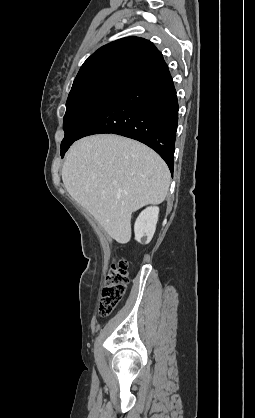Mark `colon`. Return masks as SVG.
I'll return each instance as SVG.
<instances>
[{"label": "colon", "mask_w": 255, "mask_h": 418, "mask_svg": "<svg viewBox=\"0 0 255 418\" xmlns=\"http://www.w3.org/2000/svg\"><path fill=\"white\" fill-rule=\"evenodd\" d=\"M129 282L128 264L120 260L112 265L102 289L99 313L109 315L121 301Z\"/></svg>", "instance_id": "5ec220e1"}]
</instances>
